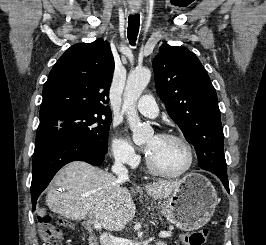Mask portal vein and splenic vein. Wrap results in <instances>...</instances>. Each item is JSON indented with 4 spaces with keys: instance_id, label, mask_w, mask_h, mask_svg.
I'll return each mask as SVG.
<instances>
[{
    "instance_id": "obj_1",
    "label": "portal vein and splenic vein",
    "mask_w": 266,
    "mask_h": 245,
    "mask_svg": "<svg viewBox=\"0 0 266 245\" xmlns=\"http://www.w3.org/2000/svg\"><path fill=\"white\" fill-rule=\"evenodd\" d=\"M95 229H101L99 223H97V221H95V225H94ZM159 237H170V233L168 231H161V233H159Z\"/></svg>"
}]
</instances>
